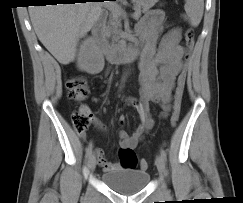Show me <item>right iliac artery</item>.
<instances>
[{
    "label": "right iliac artery",
    "instance_id": "1",
    "mask_svg": "<svg viewBox=\"0 0 243 203\" xmlns=\"http://www.w3.org/2000/svg\"><path fill=\"white\" fill-rule=\"evenodd\" d=\"M92 148H93L92 143H90L86 149L87 156H90L92 154Z\"/></svg>",
    "mask_w": 243,
    "mask_h": 203
}]
</instances>
